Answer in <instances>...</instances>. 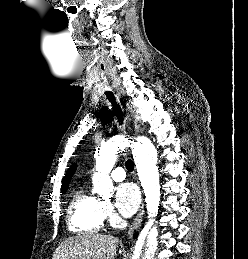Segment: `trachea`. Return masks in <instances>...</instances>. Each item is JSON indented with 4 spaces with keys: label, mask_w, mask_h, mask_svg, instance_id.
Returning <instances> with one entry per match:
<instances>
[{
    "label": "trachea",
    "mask_w": 248,
    "mask_h": 259,
    "mask_svg": "<svg viewBox=\"0 0 248 259\" xmlns=\"http://www.w3.org/2000/svg\"><path fill=\"white\" fill-rule=\"evenodd\" d=\"M106 96H107L108 100L112 103L113 111H114L115 115L117 116L118 122L120 124H122L123 123L122 111H121L119 104L115 101V97H114L113 93L108 92V93H106ZM126 168L128 171H133L134 163L131 159H128L126 161Z\"/></svg>",
    "instance_id": "3493384b"
}]
</instances>
